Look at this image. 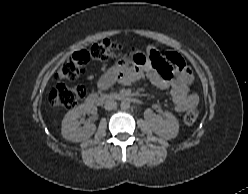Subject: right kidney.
<instances>
[{
	"instance_id": "1",
	"label": "right kidney",
	"mask_w": 248,
	"mask_h": 194,
	"mask_svg": "<svg viewBox=\"0 0 248 194\" xmlns=\"http://www.w3.org/2000/svg\"><path fill=\"white\" fill-rule=\"evenodd\" d=\"M96 112L97 108L95 106L86 104H81L70 110L62 121V136L72 142H81L91 137L96 131L95 124L87 123L84 127H80L78 119L86 113L94 114Z\"/></svg>"
}]
</instances>
